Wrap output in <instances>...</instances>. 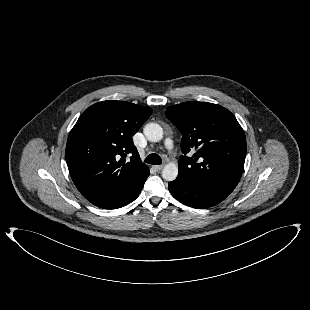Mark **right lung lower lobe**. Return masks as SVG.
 <instances>
[{
  "label": "right lung lower lobe",
  "mask_w": 310,
  "mask_h": 310,
  "mask_svg": "<svg viewBox=\"0 0 310 310\" xmlns=\"http://www.w3.org/2000/svg\"><path fill=\"white\" fill-rule=\"evenodd\" d=\"M143 185H144V183L135 193H133L129 197H126V198H123L120 200H114V201H109V202H105V203L95 204V205L100 207V208H104V209H117V208L123 207V206L131 203L132 201H134L138 197L139 193L141 192V190L143 188Z\"/></svg>",
  "instance_id": "right-lung-lower-lobe-1"
}]
</instances>
